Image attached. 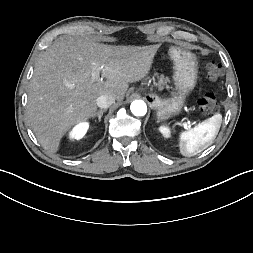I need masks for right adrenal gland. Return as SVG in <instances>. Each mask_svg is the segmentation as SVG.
Here are the masks:
<instances>
[{
  "instance_id": "obj_1",
  "label": "right adrenal gland",
  "mask_w": 253,
  "mask_h": 253,
  "mask_svg": "<svg viewBox=\"0 0 253 253\" xmlns=\"http://www.w3.org/2000/svg\"><path fill=\"white\" fill-rule=\"evenodd\" d=\"M106 110H99L98 112H96V114L94 115V118L95 117H98V120L99 122L101 121V118L103 116V113L105 112Z\"/></svg>"
}]
</instances>
